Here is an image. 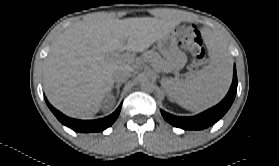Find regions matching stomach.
<instances>
[{"instance_id": "0dacf381", "label": "stomach", "mask_w": 279, "mask_h": 166, "mask_svg": "<svg viewBox=\"0 0 279 166\" xmlns=\"http://www.w3.org/2000/svg\"><path fill=\"white\" fill-rule=\"evenodd\" d=\"M157 47L165 59V68L167 70L182 69L187 63V56L179 49L174 32H170L159 39L157 41Z\"/></svg>"}]
</instances>
